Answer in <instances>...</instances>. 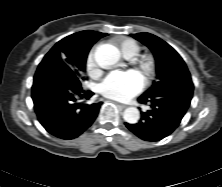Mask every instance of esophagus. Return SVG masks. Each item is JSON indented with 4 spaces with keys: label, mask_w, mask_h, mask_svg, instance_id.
<instances>
[{
    "label": "esophagus",
    "mask_w": 222,
    "mask_h": 187,
    "mask_svg": "<svg viewBox=\"0 0 222 187\" xmlns=\"http://www.w3.org/2000/svg\"><path fill=\"white\" fill-rule=\"evenodd\" d=\"M118 106H120V107H122V108H126L127 106L126 105H124V104H120V103H118V102H115Z\"/></svg>",
    "instance_id": "34e87169"
}]
</instances>
